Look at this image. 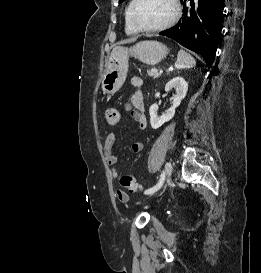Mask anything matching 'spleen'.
<instances>
[{
	"instance_id": "3e777b00",
	"label": "spleen",
	"mask_w": 261,
	"mask_h": 273,
	"mask_svg": "<svg viewBox=\"0 0 261 273\" xmlns=\"http://www.w3.org/2000/svg\"><path fill=\"white\" fill-rule=\"evenodd\" d=\"M196 65L195 59L186 51L180 50L177 55L175 67L177 69H189Z\"/></svg>"
}]
</instances>
